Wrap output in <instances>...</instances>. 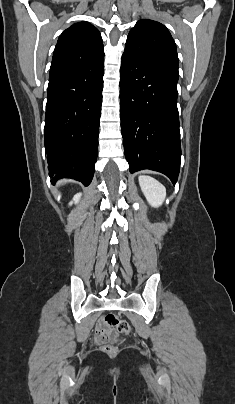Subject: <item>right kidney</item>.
I'll list each match as a JSON object with an SVG mask.
<instances>
[{
    "label": "right kidney",
    "instance_id": "obj_1",
    "mask_svg": "<svg viewBox=\"0 0 235 404\" xmlns=\"http://www.w3.org/2000/svg\"><path fill=\"white\" fill-rule=\"evenodd\" d=\"M82 196V193H78L73 197V200L69 203V205H72L73 203L77 204Z\"/></svg>",
    "mask_w": 235,
    "mask_h": 404
}]
</instances>
